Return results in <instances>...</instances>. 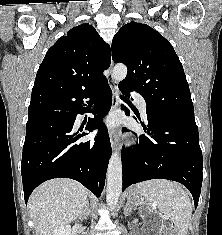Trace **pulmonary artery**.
<instances>
[{"label":"pulmonary artery","instance_id":"e3ab8cb5","mask_svg":"<svg viewBox=\"0 0 222 235\" xmlns=\"http://www.w3.org/2000/svg\"><path fill=\"white\" fill-rule=\"evenodd\" d=\"M132 96L136 100V102L138 103L142 113L145 115L146 114V106H147L145 99L137 92H133Z\"/></svg>","mask_w":222,"mask_h":235}]
</instances>
